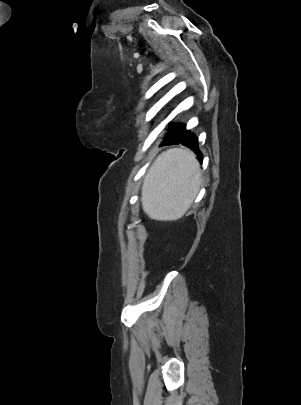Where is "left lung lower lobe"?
<instances>
[{
	"label": "left lung lower lobe",
	"instance_id": "0a47b994",
	"mask_svg": "<svg viewBox=\"0 0 301 405\" xmlns=\"http://www.w3.org/2000/svg\"><path fill=\"white\" fill-rule=\"evenodd\" d=\"M173 144H182L190 148L199 157H202L198 148V138L193 133L186 130L185 125H173L168 129V133L165 135L161 145Z\"/></svg>",
	"mask_w": 301,
	"mask_h": 405
}]
</instances>
